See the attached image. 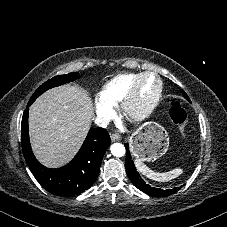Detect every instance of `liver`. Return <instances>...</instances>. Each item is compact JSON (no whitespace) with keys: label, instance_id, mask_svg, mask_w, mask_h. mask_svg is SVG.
<instances>
[{"label":"liver","instance_id":"1","mask_svg":"<svg viewBox=\"0 0 227 227\" xmlns=\"http://www.w3.org/2000/svg\"><path fill=\"white\" fill-rule=\"evenodd\" d=\"M94 116L92 100L79 86L48 90L32 105L29 132L32 149L45 166L68 163L81 147Z\"/></svg>","mask_w":227,"mask_h":227}]
</instances>
